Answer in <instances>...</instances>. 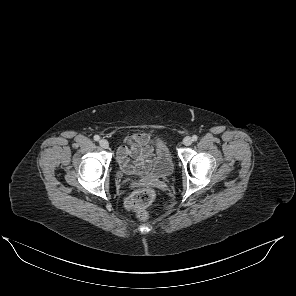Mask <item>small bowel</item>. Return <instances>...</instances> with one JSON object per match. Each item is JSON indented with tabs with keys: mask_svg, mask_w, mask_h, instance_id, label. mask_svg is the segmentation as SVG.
<instances>
[{
	"mask_svg": "<svg viewBox=\"0 0 296 296\" xmlns=\"http://www.w3.org/2000/svg\"><path fill=\"white\" fill-rule=\"evenodd\" d=\"M117 151V161L127 174L145 175L154 159L153 141L146 133H132Z\"/></svg>",
	"mask_w": 296,
	"mask_h": 296,
	"instance_id": "1",
	"label": "small bowel"
}]
</instances>
